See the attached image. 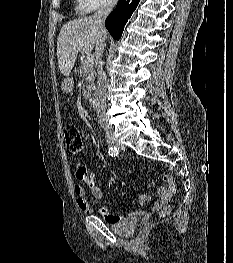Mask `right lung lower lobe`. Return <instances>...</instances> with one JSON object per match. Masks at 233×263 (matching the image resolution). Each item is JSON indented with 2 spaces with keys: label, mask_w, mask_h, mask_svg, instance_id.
<instances>
[{
  "label": "right lung lower lobe",
  "mask_w": 233,
  "mask_h": 263,
  "mask_svg": "<svg viewBox=\"0 0 233 263\" xmlns=\"http://www.w3.org/2000/svg\"><path fill=\"white\" fill-rule=\"evenodd\" d=\"M139 1L140 0H119L117 8L107 17L105 26L114 39H120L124 26L138 6Z\"/></svg>",
  "instance_id": "obj_1"
}]
</instances>
